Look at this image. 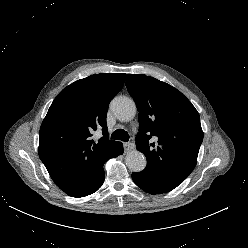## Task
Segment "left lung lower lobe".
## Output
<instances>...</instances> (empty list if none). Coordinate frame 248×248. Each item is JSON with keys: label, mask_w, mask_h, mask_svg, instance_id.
Masks as SVG:
<instances>
[{"label": "left lung lower lobe", "mask_w": 248, "mask_h": 248, "mask_svg": "<svg viewBox=\"0 0 248 248\" xmlns=\"http://www.w3.org/2000/svg\"><path fill=\"white\" fill-rule=\"evenodd\" d=\"M134 183L150 194H162L171 191L173 188L153 181L152 177L144 171L132 173Z\"/></svg>", "instance_id": "obj_1"}]
</instances>
